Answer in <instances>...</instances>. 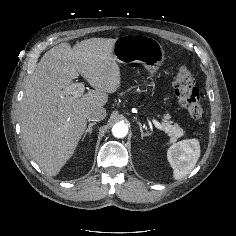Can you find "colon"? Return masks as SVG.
I'll use <instances>...</instances> for the list:
<instances>
[{
    "label": "colon",
    "mask_w": 236,
    "mask_h": 236,
    "mask_svg": "<svg viewBox=\"0 0 236 236\" xmlns=\"http://www.w3.org/2000/svg\"><path fill=\"white\" fill-rule=\"evenodd\" d=\"M173 86L180 105L193 119H200L203 116L200 93L193 74L186 66L177 69Z\"/></svg>",
    "instance_id": "colon-1"
}]
</instances>
